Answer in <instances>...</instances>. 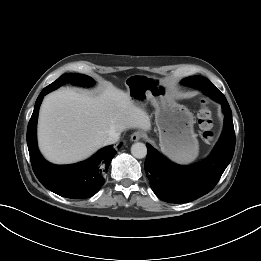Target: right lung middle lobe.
<instances>
[{"instance_id":"obj_1","label":"right lung middle lobe","mask_w":261,"mask_h":261,"mask_svg":"<svg viewBox=\"0 0 261 261\" xmlns=\"http://www.w3.org/2000/svg\"><path fill=\"white\" fill-rule=\"evenodd\" d=\"M66 82L78 84V85H91L93 84L94 81L89 76L83 74H64L48 86H53L56 84L62 85Z\"/></svg>"}]
</instances>
